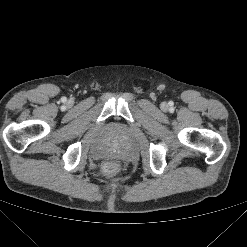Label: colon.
<instances>
[{
    "instance_id": "1",
    "label": "colon",
    "mask_w": 247,
    "mask_h": 247,
    "mask_svg": "<svg viewBox=\"0 0 247 247\" xmlns=\"http://www.w3.org/2000/svg\"><path fill=\"white\" fill-rule=\"evenodd\" d=\"M119 169V165L114 161L104 163L102 170L106 175L115 174Z\"/></svg>"
}]
</instances>
